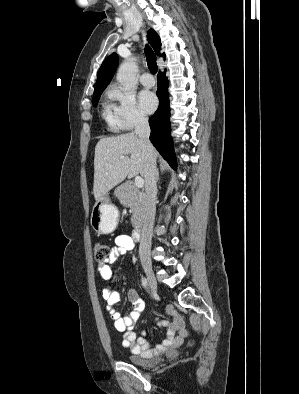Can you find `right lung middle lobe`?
<instances>
[{
	"instance_id": "obj_1",
	"label": "right lung middle lobe",
	"mask_w": 299,
	"mask_h": 394,
	"mask_svg": "<svg viewBox=\"0 0 299 394\" xmlns=\"http://www.w3.org/2000/svg\"><path fill=\"white\" fill-rule=\"evenodd\" d=\"M101 94H102V92L93 96V105L94 106L97 105Z\"/></svg>"
}]
</instances>
